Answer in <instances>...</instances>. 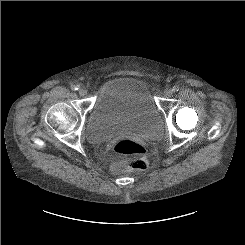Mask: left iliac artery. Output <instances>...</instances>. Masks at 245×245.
Wrapping results in <instances>:
<instances>
[{"label":"left iliac artery","instance_id":"1","mask_svg":"<svg viewBox=\"0 0 245 245\" xmlns=\"http://www.w3.org/2000/svg\"><path fill=\"white\" fill-rule=\"evenodd\" d=\"M179 90V87L177 85L173 86L172 91L177 92Z\"/></svg>","mask_w":245,"mask_h":245}]
</instances>
